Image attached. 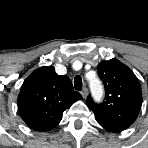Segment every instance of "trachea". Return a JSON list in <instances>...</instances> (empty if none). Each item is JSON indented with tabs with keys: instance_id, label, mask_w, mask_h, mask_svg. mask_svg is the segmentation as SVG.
I'll use <instances>...</instances> for the list:
<instances>
[{
	"instance_id": "obj_1",
	"label": "trachea",
	"mask_w": 148,
	"mask_h": 148,
	"mask_svg": "<svg viewBox=\"0 0 148 148\" xmlns=\"http://www.w3.org/2000/svg\"><path fill=\"white\" fill-rule=\"evenodd\" d=\"M74 86H75L76 90H78V91L82 90V78H81V76L78 75L74 78Z\"/></svg>"
}]
</instances>
